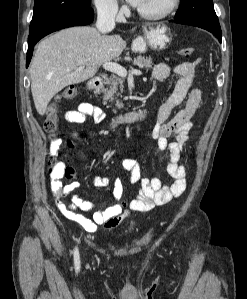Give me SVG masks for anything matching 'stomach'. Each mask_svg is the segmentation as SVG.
Instances as JSON below:
<instances>
[{
	"label": "stomach",
	"mask_w": 247,
	"mask_h": 299,
	"mask_svg": "<svg viewBox=\"0 0 247 299\" xmlns=\"http://www.w3.org/2000/svg\"><path fill=\"white\" fill-rule=\"evenodd\" d=\"M144 36L137 37L132 43V50L137 53H145L148 48L152 50H164L172 41L171 30L162 23H149L143 28Z\"/></svg>",
	"instance_id": "obj_1"
}]
</instances>
